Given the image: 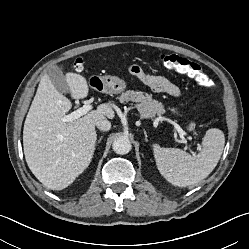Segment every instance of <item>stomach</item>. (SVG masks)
Wrapping results in <instances>:
<instances>
[{
	"label": "stomach",
	"instance_id": "0dacf381",
	"mask_svg": "<svg viewBox=\"0 0 249 249\" xmlns=\"http://www.w3.org/2000/svg\"><path fill=\"white\" fill-rule=\"evenodd\" d=\"M92 79L94 83H96L95 88L103 93L119 94L126 89V82L116 76L105 75L100 77H93ZM170 110L173 113L178 114V110L176 108H171Z\"/></svg>",
	"mask_w": 249,
	"mask_h": 249
}]
</instances>
